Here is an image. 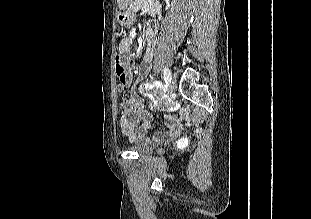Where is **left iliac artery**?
Listing matches in <instances>:
<instances>
[{
  "label": "left iliac artery",
  "mask_w": 311,
  "mask_h": 219,
  "mask_svg": "<svg viewBox=\"0 0 311 219\" xmlns=\"http://www.w3.org/2000/svg\"><path fill=\"white\" fill-rule=\"evenodd\" d=\"M163 74H164L165 82L168 83L171 80V78H172L171 71L168 68L165 67L163 69Z\"/></svg>",
  "instance_id": "44dca946"
}]
</instances>
